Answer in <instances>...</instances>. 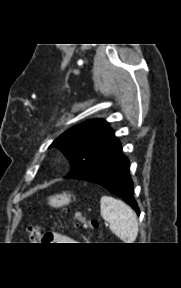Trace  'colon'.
Listing matches in <instances>:
<instances>
[{
	"instance_id": "5ec220e1",
	"label": "colon",
	"mask_w": 181,
	"mask_h": 288,
	"mask_svg": "<svg viewBox=\"0 0 181 288\" xmlns=\"http://www.w3.org/2000/svg\"><path fill=\"white\" fill-rule=\"evenodd\" d=\"M64 213H67V210H63ZM72 218L75 221L76 226H87L91 229H97L99 224L96 220L86 219L84 215L76 211L72 214ZM29 241L31 243H40V242H51L52 234L49 232H44L40 226L31 225L28 227Z\"/></svg>"
}]
</instances>
